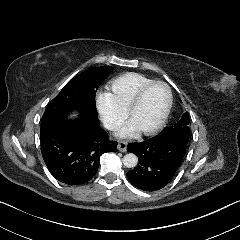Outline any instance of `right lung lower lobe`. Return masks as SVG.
Instances as JSON below:
<instances>
[{
	"instance_id": "1",
	"label": "right lung lower lobe",
	"mask_w": 240,
	"mask_h": 240,
	"mask_svg": "<svg viewBox=\"0 0 240 240\" xmlns=\"http://www.w3.org/2000/svg\"><path fill=\"white\" fill-rule=\"evenodd\" d=\"M40 140L49 171L58 181L68 185L88 182L98 171L100 156L117 151V142L109 141L98 118L88 115L42 126Z\"/></svg>"
}]
</instances>
